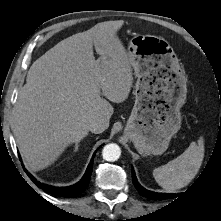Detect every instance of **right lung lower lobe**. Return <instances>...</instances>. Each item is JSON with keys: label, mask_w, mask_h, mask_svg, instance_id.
<instances>
[{"label": "right lung lower lobe", "mask_w": 221, "mask_h": 221, "mask_svg": "<svg viewBox=\"0 0 221 221\" xmlns=\"http://www.w3.org/2000/svg\"><path fill=\"white\" fill-rule=\"evenodd\" d=\"M95 155V153H94ZM94 155L90 161V164L88 165V168L83 176V178L76 183L73 186H69V187H52V186H48L45 184H41L40 182L36 181L35 178H33L28 172V176L31 178V180L41 189H43L45 192L51 193V194H55L57 196H61V197H75L78 196L81 192H83L86 187L88 186V183L90 181V177H91V173H92V169H93V158Z\"/></svg>", "instance_id": "obj_1"}]
</instances>
